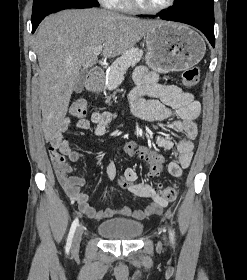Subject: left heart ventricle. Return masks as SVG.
<instances>
[{"label": "left heart ventricle", "mask_w": 247, "mask_h": 280, "mask_svg": "<svg viewBox=\"0 0 247 280\" xmlns=\"http://www.w3.org/2000/svg\"><path fill=\"white\" fill-rule=\"evenodd\" d=\"M139 2L146 7H158L167 2V0H139Z\"/></svg>", "instance_id": "obj_1"}]
</instances>
